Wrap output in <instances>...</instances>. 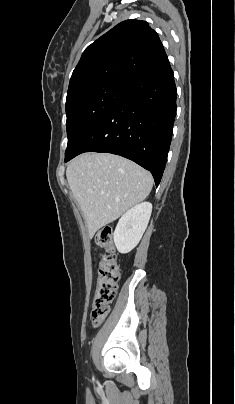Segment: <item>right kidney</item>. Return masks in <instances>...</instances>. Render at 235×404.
Instances as JSON below:
<instances>
[{"mask_svg": "<svg viewBox=\"0 0 235 404\" xmlns=\"http://www.w3.org/2000/svg\"><path fill=\"white\" fill-rule=\"evenodd\" d=\"M151 212L152 204L143 202L121 217L114 231V243L120 253H129L136 247L145 232Z\"/></svg>", "mask_w": 235, "mask_h": 404, "instance_id": "right-kidney-1", "label": "right kidney"}]
</instances>
